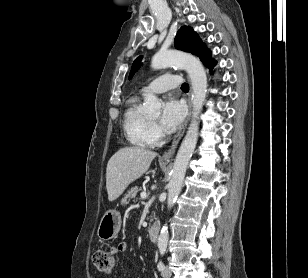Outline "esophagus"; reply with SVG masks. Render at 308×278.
Wrapping results in <instances>:
<instances>
[{"label":"esophagus","mask_w":308,"mask_h":278,"mask_svg":"<svg viewBox=\"0 0 308 278\" xmlns=\"http://www.w3.org/2000/svg\"><path fill=\"white\" fill-rule=\"evenodd\" d=\"M187 102H188V109H189L187 118L184 121L181 128L179 129V131L177 132V134L174 136V139L172 141L170 148L162 155V159L165 160V161L170 160V158L174 155L175 150H176L180 140L182 139V137L185 133L186 127L188 125V122L190 120L191 112H192V89H191V87H190V90H189V93H188Z\"/></svg>","instance_id":"1"}]
</instances>
